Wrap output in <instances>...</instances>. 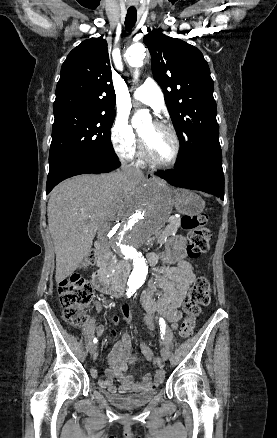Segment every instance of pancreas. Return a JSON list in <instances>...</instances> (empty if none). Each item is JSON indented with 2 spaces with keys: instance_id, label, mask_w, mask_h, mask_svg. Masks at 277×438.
Wrapping results in <instances>:
<instances>
[{
  "instance_id": "1",
  "label": "pancreas",
  "mask_w": 277,
  "mask_h": 438,
  "mask_svg": "<svg viewBox=\"0 0 277 438\" xmlns=\"http://www.w3.org/2000/svg\"><path fill=\"white\" fill-rule=\"evenodd\" d=\"M171 223L172 224H167L166 230H164V232L176 233V231L178 229L177 227H181L183 222H182L181 218H173ZM164 232H162V236H164ZM153 241H154V243L159 244V243H161L162 238H161V236L156 235V236H154Z\"/></svg>"
}]
</instances>
